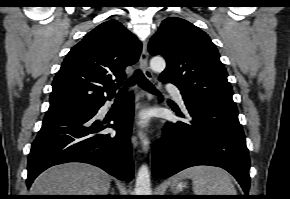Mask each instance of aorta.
<instances>
[{"label": "aorta", "instance_id": "1", "mask_svg": "<svg viewBox=\"0 0 290 199\" xmlns=\"http://www.w3.org/2000/svg\"><path fill=\"white\" fill-rule=\"evenodd\" d=\"M150 67L155 72H162L166 62L162 57L156 56L150 60ZM134 192L135 195H151L150 170L146 164L138 170Z\"/></svg>", "mask_w": 290, "mask_h": 199}]
</instances>
